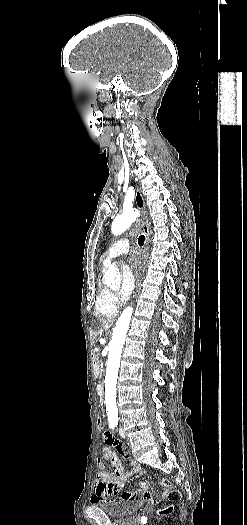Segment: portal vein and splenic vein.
<instances>
[{
    "label": "portal vein and splenic vein",
    "mask_w": 247,
    "mask_h": 525,
    "mask_svg": "<svg viewBox=\"0 0 247 525\" xmlns=\"http://www.w3.org/2000/svg\"><path fill=\"white\" fill-rule=\"evenodd\" d=\"M101 370H104V363L103 361H100Z\"/></svg>",
    "instance_id": "1"
}]
</instances>
